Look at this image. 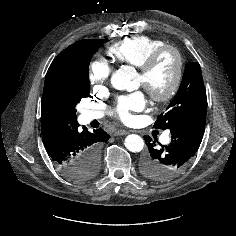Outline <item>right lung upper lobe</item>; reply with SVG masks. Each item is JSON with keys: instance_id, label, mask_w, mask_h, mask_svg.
<instances>
[{"instance_id": "obj_1", "label": "right lung upper lobe", "mask_w": 236, "mask_h": 236, "mask_svg": "<svg viewBox=\"0 0 236 236\" xmlns=\"http://www.w3.org/2000/svg\"><path fill=\"white\" fill-rule=\"evenodd\" d=\"M80 40L63 50L50 65L45 79L41 104V129L69 125L76 120V109L65 101L56 89V80L66 70L74 48Z\"/></svg>"}]
</instances>
